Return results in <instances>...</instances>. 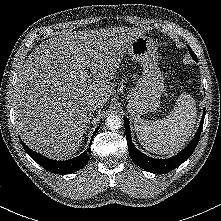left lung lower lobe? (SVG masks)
<instances>
[{
    "mask_svg": "<svg viewBox=\"0 0 221 221\" xmlns=\"http://www.w3.org/2000/svg\"><path fill=\"white\" fill-rule=\"evenodd\" d=\"M204 117H205V109L201 119L200 126L193 140L180 153L169 159H154L140 152L132 143L129 120L127 118H124L125 134L129 148V153L132 160L139 167L152 173H167L175 169L180 164H182L186 159H188L193 153L194 149L196 148L202 131Z\"/></svg>",
    "mask_w": 221,
    "mask_h": 221,
    "instance_id": "1",
    "label": "left lung lower lobe"
}]
</instances>
